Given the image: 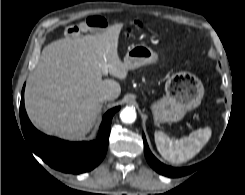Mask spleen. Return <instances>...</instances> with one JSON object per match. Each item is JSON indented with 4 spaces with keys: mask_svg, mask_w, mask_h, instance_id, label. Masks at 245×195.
<instances>
[{
    "mask_svg": "<svg viewBox=\"0 0 245 195\" xmlns=\"http://www.w3.org/2000/svg\"><path fill=\"white\" fill-rule=\"evenodd\" d=\"M211 136V129L204 128L193 131L189 136L180 139H171L164 132L154 134L156 147L161 156L173 164H181L192 159Z\"/></svg>",
    "mask_w": 245,
    "mask_h": 195,
    "instance_id": "spleen-1",
    "label": "spleen"
}]
</instances>
